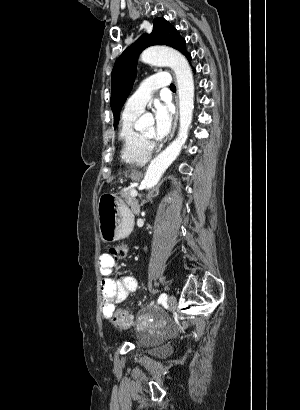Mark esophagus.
Masks as SVG:
<instances>
[{
  "mask_svg": "<svg viewBox=\"0 0 300 410\" xmlns=\"http://www.w3.org/2000/svg\"><path fill=\"white\" fill-rule=\"evenodd\" d=\"M178 116H179V108H178V97L176 98V113L173 121V126H172V131L169 137V140H171L175 134L176 128H177V123H178Z\"/></svg>",
  "mask_w": 300,
  "mask_h": 410,
  "instance_id": "34e87169",
  "label": "esophagus"
}]
</instances>
